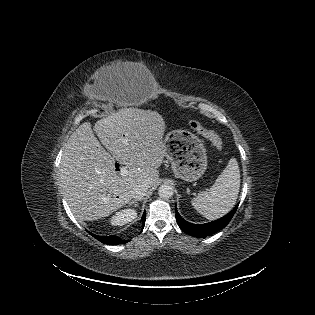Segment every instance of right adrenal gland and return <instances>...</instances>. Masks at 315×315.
Listing matches in <instances>:
<instances>
[{
	"mask_svg": "<svg viewBox=\"0 0 315 315\" xmlns=\"http://www.w3.org/2000/svg\"><path fill=\"white\" fill-rule=\"evenodd\" d=\"M142 199H135V200H132L130 202H128L129 205H134V207H137L138 206V201H141Z\"/></svg>",
	"mask_w": 315,
	"mask_h": 315,
	"instance_id": "right-adrenal-gland-1",
	"label": "right adrenal gland"
}]
</instances>
